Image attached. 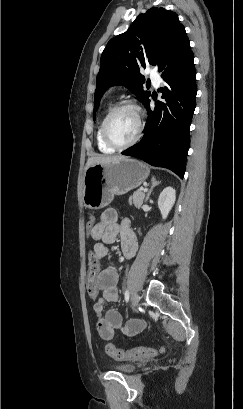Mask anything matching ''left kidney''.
<instances>
[{
	"label": "left kidney",
	"instance_id": "5707ae66",
	"mask_svg": "<svg viewBox=\"0 0 243 409\" xmlns=\"http://www.w3.org/2000/svg\"><path fill=\"white\" fill-rule=\"evenodd\" d=\"M176 200V191L172 187H166L158 199V207L163 219H166Z\"/></svg>",
	"mask_w": 243,
	"mask_h": 409
}]
</instances>
